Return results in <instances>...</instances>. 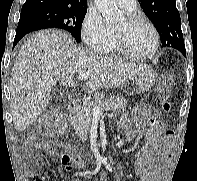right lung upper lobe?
Wrapping results in <instances>:
<instances>
[{
    "label": "right lung upper lobe",
    "instance_id": "1",
    "mask_svg": "<svg viewBox=\"0 0 197 181\" xmlns=\"http://www.w3.org/2000/svg\"><path fill=\"white\" fill-rule=\"evenodd\" d=\"M34 6L85 9L87 8V0H26L22 9L24 10Z\"/></svg>",
    "mask_w": 197,
    "mask_h": 181
}]
</instances>
